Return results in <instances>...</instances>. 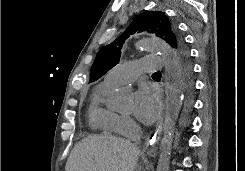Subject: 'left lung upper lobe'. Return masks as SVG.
Masks as SVG:
<instances>
[{"label": "left lung upper lobe", "mask_w": 245, "mask_h": 171, "mask_svg": "<svg viewBox=\"0 0 245 171\" xmlns=\"http://www.w3.org/2000/svg\"><path fill=\"white\" fill-rule=\"evenodd\" d=\"M148 31L165 40L173 48L176 61H190L189 52L177 28L164 12L146 11L139 14L124 33L112 43L102 47L90 70L89 82H94L119 63L121 48L129 35Z\"/></svg>", "instance_id": "left-lung-upper-lobe-1"}]
</instances>
